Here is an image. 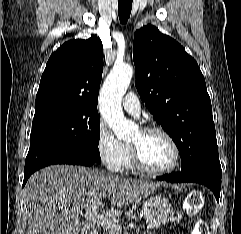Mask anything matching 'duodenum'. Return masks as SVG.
I'll return each mask as SVG.
<instances>
[{
    "label": "duodenum",
    "instance_id": "410a0bca",
    "mask_svg": "<svg viewBox=\"0 0 241 234\" xmlns=\"http://www.w3.org/2000/svg\"><path fill=\"white\" fill-rule=\"evenodd\" d=\"M82 234H97V232L93 225L88 224L83 228Z\"/></svg>",
    "mask_w": 241,
    "mask_h": 234
}]
</instances>
